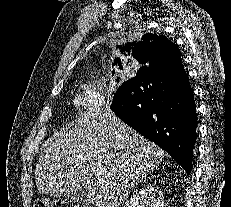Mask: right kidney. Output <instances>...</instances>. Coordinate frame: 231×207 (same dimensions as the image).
Masks as SVG:
<instances>
[{
	"mask_svg": "<svg viewBox=\"0 0 231 207\" xmlns=\"http://www.w3.org/2000/svg\"><path fill=\"white\" fill-rule=\"evenodd\" d=\"M124 207H164L163 193L147 185L126 202Z\"/></svg>",
	"mask_w": 231,
	"mask_h": 207,
	"instance_id": "right-kidney-1",
	"label": "right kidney"
}]
</instances>
